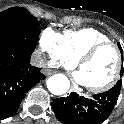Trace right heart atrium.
I'll list each match as a JSON object with an SVG mask.
<instances>
[{"label":"right heart atrium","instance_id":"obj_1","mask_svg":"<svg viewBox=\"0 0 124 124\" xmlns=\"http://www.w3.org/2000/svg\"><path fill=\"white\" fill-rule=\"evenodd\" d=\"M41 52L48 55V62L53 66L61 65L71 69L74 62L71 61L63 49L62 36L51 28L44 29L38 41Z\"/></svg>","mask_w":124,"mask_h":124}]
</instances>
